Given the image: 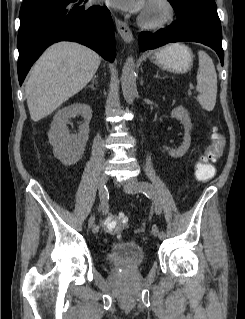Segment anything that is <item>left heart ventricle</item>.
<instances>
[{"mask_svg":"<svg viewBox=\"0 0 245 319\" xmlns=\"http://www.w3.org/2000/svg\"><path fill=\"white\" fill-rule=\"evenodd\" d=\"M144 13L149 17V18H158L162 14V10L159 6L157 5H150L145 7Z\"/></svg>","mask_w":245,"mask_h":319,"instance_id":"1","label":"left heart ventricle"}]
</instances>
